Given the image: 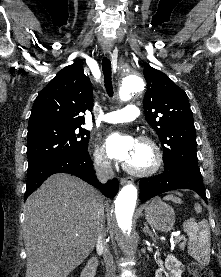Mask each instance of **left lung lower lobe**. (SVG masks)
<instances>
[{"label":"left lung lower lobe","mask_w":221,"mask_h":277,"mask_svg":"<svg viewBox=\"0 0 221 277\" xmlns=\"http://www.w3.org/2000/svg\"><path fill=\"white\" fill-rule=\"evenodd\" d=\"M139 185L142 201L175 189H191L207 203L201 175L190 172L186 168H173L151 178H142Z\"/></svg>","instance_id":"1"}]
</instances>
